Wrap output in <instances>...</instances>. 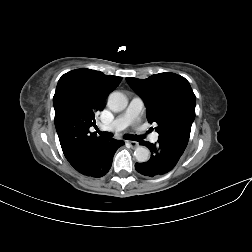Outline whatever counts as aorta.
Wrapping results in <instances>:
<instances>
[{"label":"aorta","instance_id":"obj_1","mask_svg":"<svg viewBox=\"0 0 252 252\" xmlns=\"http://www.w3.org/2000/svg\"><path fill=\"white\" fill-rule=\"evenodd\" d=\"M128 99L121 92H112L108 97V107L114 112H120L127 107ZM138 162H147L150 158V151L147 147L139 146L134 151Z\"/></svg>","mask_w":252,"mask_h":252}]
</instances>
